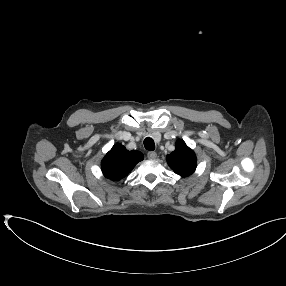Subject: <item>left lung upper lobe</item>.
Here are the masks:
<instances>
[{
  "instance_id": "obj_1",
  "label": "left lung upper lobe",
  "mask_w": 286,
  "mask_h": 286,
  "mask_svg": "<svg viewBox=\"0 0 286 286\" xmlns=\"http://www.w3.org/2000/svg\"><path fill=\"white\" fill-rule=\"evenodd\" d=\"M167 163L170 168L178 175L187 177L196 169V156L183 140L176 142V149L167 155Z\"/></svg>"
}]
</instances>
